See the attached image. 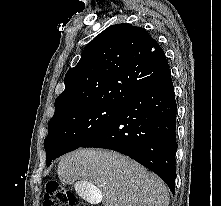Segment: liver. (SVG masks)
I'll return each mask as SVG.
<instances>
[{"label":"liver","mask_w":221,"mask_h":206,"mask_svg":"<svg viewBox=\"0 0 221 206\" xmlns=\"http://www.w3.org/2000/svg\"><path fill=\"white\" fill-rule=\"evenodd\" d=\"M58 176L84 199L101 191L104 206H168L169 193L160 177L114 151L78 149L63 156Z\"/></svg>","instance_id":"liver-1"}]
</instances>
